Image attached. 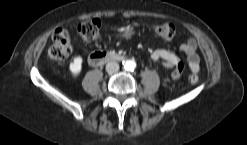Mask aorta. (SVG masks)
Wrapping results in <instances>:
<instances>
[{
  "label": "aorta",
  "instance_id": "obj_1",
  "mask_svg": "<svg viewBox=\"0 0 247 145\" xmlns=\"http://www.w3.org/2000/svg\"><path fill=\"white\" fill-rule=\"evenodd\" d=\"M124 68L126 70H134L136 68V62L134 60H127L125 63H124Z\"/></svg>",
  "mask_w": 247,
  "mask_h": 145
}]
</instances>
